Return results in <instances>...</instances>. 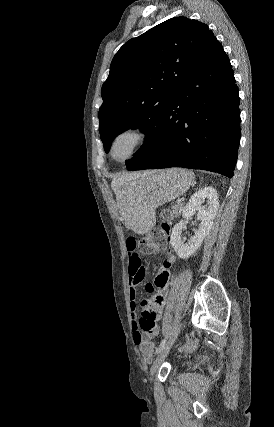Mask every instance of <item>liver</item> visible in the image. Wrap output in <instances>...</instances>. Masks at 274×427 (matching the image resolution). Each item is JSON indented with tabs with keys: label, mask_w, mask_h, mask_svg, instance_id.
Masks as SVG:
<instances>
[{
	"label": "liver",
	"mask_w": 274,
	"mask_h": 427,
	"mask_svg": "<svg viewBox=\"0 0 274 427\" xmlns=\"http://www.w3.org/2000/svg\"><path fill=\"white\" fill-rule=\"evenodd\" d=\"M142 174L143 172H140V174H118V176L113 178L111 182V188L116 194V200L118 202L119 208L122 202H124L126 190L130 188L129 182H132V178H141Z\"/></svg>",
	"instance_id": "obj_1"
}]
</instances>
